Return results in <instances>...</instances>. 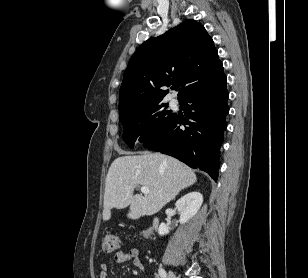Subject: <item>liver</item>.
Returning <instances> with one entry per match:
<instances>
[{
	"mask_svg": "<svg viewBox=\"0 0 308 278\" xmlns=\"http://www.w3.org/2000/svg\"><path fill=\"white\" fill-rule=\"evenodd\" d=\"M196 181L194 171L171 156L146 153L118 157L106 177L103 220L111 218L114 207L130 206L127 216L131 219L153 215ZM138 185L148 187L149 193L134 195Z\"/></svg>",
	"mask_w": 308,
	"mask_h": 278,
	"instance_id": "1",
	"label": "liver"
}]
</instances>
